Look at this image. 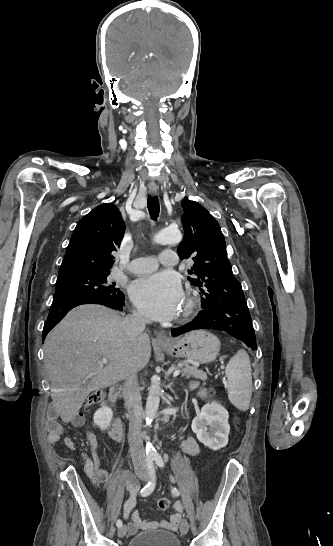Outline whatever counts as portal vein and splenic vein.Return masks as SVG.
<instances>
[{
	"instance_id": "18ae733b",
	"label": "portal vein and splenic vein",
	"mask_w": 333,
	"mask_h": 546,
	"mask_svg": "<svg viewBox=\"0 0 333 546\" xmlns=\"http://www.w3.org/2000/svg\"><path fill=\"white\" fill-rule=\"evenodd\" d=\"M100 363H101V365L106 364L107 363V358H102L100 360ZM179 374H180V370H175L173 372V377H177Z\"/></svg>"
}]
</instances>
